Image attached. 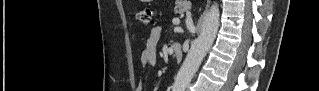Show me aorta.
I'll return each mask as SVG.
<instances>
[{
  "mask_svg": "<svg viewBox=\"0 0 319 91\" xmlns=\"http://www.w3.org/2000/svg\"><path fill=\"white\" fill-rule=\"evenodd\" d=\"M220 11L214 3L206 13L200 35L191 44V48L179 69L173 91H185L198 70L208 50L212 46L219 28Z\"/></svg>",
  "mask_w": 319,
  "mask_h": 91,
  "instance_id": "762f6f07",
  "label": "aorta"
}]
</instances>
